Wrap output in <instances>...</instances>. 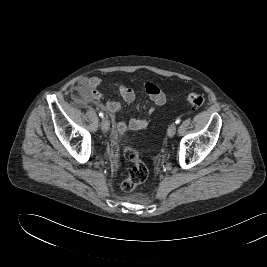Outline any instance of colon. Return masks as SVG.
I'll return each instance as SVG.
<instances>
[{"label": "colon", "mask_w": 267, "mask_h": 267, "mask_svg": "<svg viewBox=\"0 0 267 267\" xmlns=\"http://www.w3.org/2000/svg\"><path fill=\"white\" fill-rule=\"evenodd\" d=\"M186 101L189 105L194 108L201 107L205 98L203 95L198 93H190ZM124 158L133 164L127 177L122 181L121 188L123 191L129 192L135 189L139 184L143 183L148 177V169L139 157L138 152L130 147L126 146L123 150Z\"/></svg>", "instance_id": "colon-1"}]
</instances>
